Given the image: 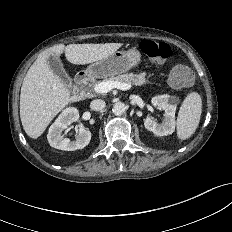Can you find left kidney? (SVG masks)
Instances as JSON below:
<instances>
[{
	"label": "left kidney",
	"instance_id": "5707ae66",
	"mask_svg": "<svg viewBox=\"0 0 232 232\" xmlns=\"http://www.w3.org/2000/svg\"><path fill=\"white\" fill-rule=\"evenodd\" d=\"M153 106L165 111V119L158 123L150 117H146L144 126L148 131L153 132L156 136L172 134L175 130V111L177 99L169 95H159L151 99Z\"/></svg>",
	"mask_w": 232,
	"mask_h": 232
}]
</instances>
